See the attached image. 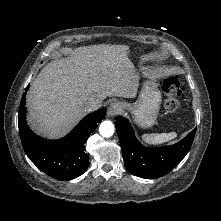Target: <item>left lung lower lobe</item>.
<instances>
[{
    "label": "left lung lower lobe",
    "instance_id": "0a47b994",
    "mask_svg": "<svg viewBox=\"0 0 221 221\" xmlns=\"http://www.w3.org/2000/svg\"><path fill=\"white\" fill-rule=\"evenodd\" d=\"M115 126L127 170L133 175L147 179L164 176L178 165L189 152L196 133L195 128L176 144L148 148L136 139L126 118L116 117Z\"/></svg>",
    "mask_w": 221,
    "mask_h": 221
}]
</instances>
